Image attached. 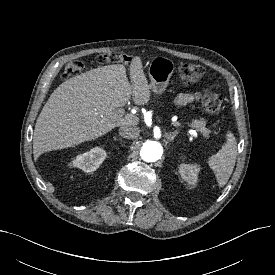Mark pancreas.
Returning <instances> with one entry per match:
<instances>
[{
    "instance_id": "pancreas-1",
    "label": "pancreas",
    "mask_w": 275,
    "mask_h": 275,
    "mask_svg": "<svg viewBox=\"0 0 275 275\" xmlns=\"http://www.w3.org/2000/svg\"><path fill=\"white\" fill-rule=\"evenodd\" d=\"M190 126L192 128H195L198 132H200L204 138L208 139L210 137V130L206 128L205 121L204 120H194Z\"/></svg>"
}]
</instances>
